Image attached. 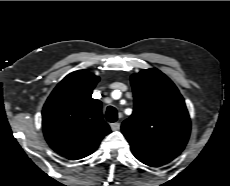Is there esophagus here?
Returning <instances> with one entry per match:
<instances>
[{"label":"esophagus","mask_w":230,"mask_h":186,"mask_svg":"<svg viewBox=\"0 0 230 186\" xmlns=\"http://www.w3.org/2000/svg\"><path fill=\"white\" fill-rule=\"evenodd\" d=\"M110 126H111V129L113 131H117L120 129V123L119 122L111 123Z\"/></svg>","instance_id":"obj_1"}]
</instances>
